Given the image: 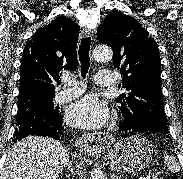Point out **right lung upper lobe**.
Wrapping results in <instances>:
<instances>
[{"mask_svg":"<svg viewBox=\"0 0 183 179\" xmlns=\"http://www.w3.org/2000/svg\"><path fill=\"white\" fill-rule=\"evenodd\" d=\"M79 29L74 21L61 16L35 32L22 55L19 97L55 94L54 83L62 71L77 67Z\"/></svg>","mask_w":183,"mask_h":179,"instance_id":"right-lung-upper-lobe-1","label":"right lung upper lobe"}]
</instances>
